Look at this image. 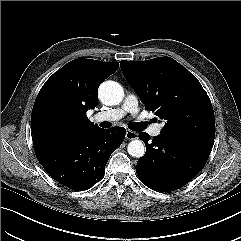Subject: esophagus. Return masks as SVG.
Masks as SVG:
<instances>
[{"mask_svg": "<svg viewBox=\"0 0 241 241\" xmlns=\"http://www.w3.org/2000/svg\"><path fill=\"white\" fill-rule=\"evenodd\" d=\"M126 139L128 140H133V139H137L138 138V133L131 131V130H127L126 132Z\"/></svg>", "mask_w": 241, "mask_h": 241, "instance_id": "1", "label": "esophagus"}]
</instances>
